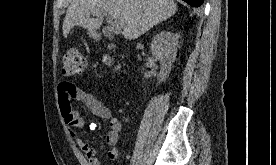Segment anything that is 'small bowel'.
<instances>
[{
    "label": "small bowel",
    "mask_w": 276,
    "mask_h": 165,
    "mask_svg": "<svg viewBox=\"0 0 276 165\" xmlns=\"http://www.w3.org/2000/svg\"><path fill=\"white\" fill-rule=\"evenodd\" d=\"M73 100L83 102L93 115L108 122V130L105 134V141L110 149L107 156L109 160H115L118 157L116 145L120 138V120L115 117L110 109L92 93L77 87L69 81H62L59 83L58 103L61 116L66 124L70 136L84 153L88 165H102V163L96 154V150L84 142L82 138L80 130L85 125V117L74 110L72 106ZM89 129L97 130L98 124L95 122L90 123Z\"/></svg>",
    "instance_id": "1"
}]
</instances>
